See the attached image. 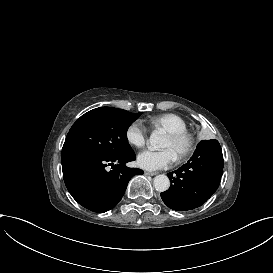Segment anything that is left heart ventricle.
Returning a JSON list of instances; mask_svg holds the SVG:
<instances>
[{"mask_svg":"<svg viewBox=\"0 0 273 273\" xmlns=\"http://www.w3.org/2000/svg\"><path fill=\"white\" fill-rule=\"evenodd\" d=\"M185 142L183 140H174L168 138L166 135L162 142V147L170 148L172 152L177 156L179 152L183 149Z\"/></svg>","mask_w":273,"mask_h":273,"instance_id":"left-heart-ventricle-1","label":"left heart ventricle"}]
</instances>
